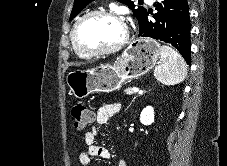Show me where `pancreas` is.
Listing matches in <instances>:
<instances>
[{
	"instance_id": "obj_1",
	"label": "pancreas",
	"mask_w": 227,
	"mask_h": 166,
	"mask_svg": "<svg viewBox=\"0 0 227 166\" xmlns=\"http://www.w3.org/2000/svg\"><path fill=\"white\" fill-rule=\"evenodd\" d=\"M132 89H133L132 87L125 89V93L128 95L133 94Z\"/></svg>"
}]
</instances>
